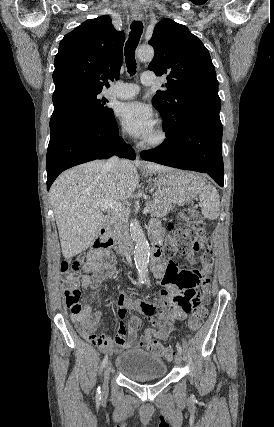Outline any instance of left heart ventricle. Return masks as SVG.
Instances as JSON below:
<instances>
[{
  "label": "left heart ventricle",
  "instance_id": "left-heart-ventricle-1",
  "mask_svg": "<svg viewBox=\"0 0 274 427\" xmlns=\"http://www.w3.org/2000/svg\"><path fill=\"white\" fill-rule=\"evenodd\" d=\"M156 136H157V128H155L152 131V133L147 138H145L144 140H151V139H154Z\"/></svg>",
  "mask_w": 274,
  "mask_h": 427
}]
</instances>
